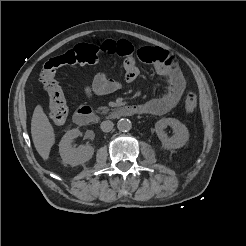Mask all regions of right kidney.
<instances>
[{"label":"right kidney","mask_w":246,"mask_h":246,"mask_svg":"<svg viewBox=\"0 0 246 246\" xmlns=\"http://www.w3.org/2000/svg\"><path fill=\"white\" fill-rule=\"evenodd\" d=\"M80 134L79 129H72L66 132L59 143V153L62 161L71 166H77L89 161L93 154L94 148L90 145H81L77 148H72L71 142Z\"/></svg>","instance_id":"ca27d5eb"}]
</instances>
